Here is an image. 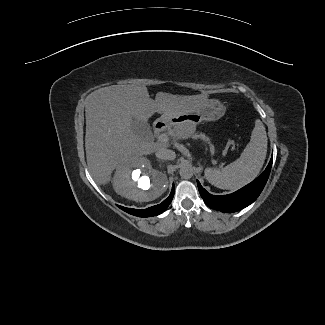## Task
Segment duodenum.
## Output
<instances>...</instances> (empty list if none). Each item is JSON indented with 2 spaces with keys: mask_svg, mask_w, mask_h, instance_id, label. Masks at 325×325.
I'll return each instance as SVG.
<instances>
[{
  "mask_svg": "<svg viewBox=\"0 0 325 325\" xmlns=\"http://www.w3.org/2000/svg\"><path fill=\"white\" fill-rule=\"evenodd\" d=\"M166 124L162 121H158L153 125V132L155 134H159L161 131L165 129Z\"/></svg>",
  "mask_w": 325,
  "mask_h": 325,
  "instance_id": "duodenum-1",
  "label": "duodenum"
}]
</instances>
